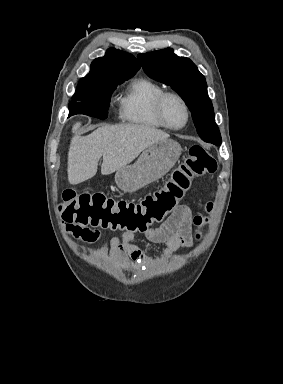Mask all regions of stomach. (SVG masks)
I'll list each match as a JSON object with an SVG mask.
<instances>
[{"mask_svg":"<svg viewBox=\"0 0 283 384\" xmlns=\"http://www.w3.org/2000/svg\"><path fill=\"white\" fill-rule=\"evenodd\" d=\"M182 148L174 140H160L142 152L135 164L124 166L116 172L115 182L122 190L133 194L140 188L157 182L175 166Z\"/></svg>","mask_w":283,"mask_h":384,"instance_id":"0dacf381","label":"stomach"}]
</instances>
